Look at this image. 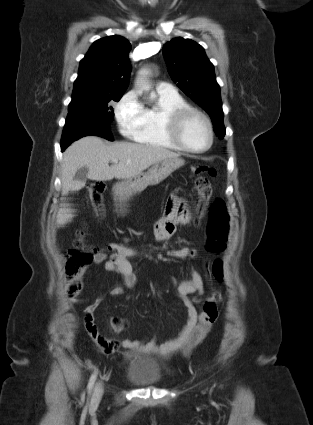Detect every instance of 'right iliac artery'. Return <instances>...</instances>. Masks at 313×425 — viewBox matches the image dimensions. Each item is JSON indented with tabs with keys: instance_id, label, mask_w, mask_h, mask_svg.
I'll list each match as a JSON object with an SVG mask.
<instances>
[{
	"instance_id": "obj_1",
	"label": "right iliac artery",
	"mask_w": 313,
	"mask_h": 425,
	"mask_svg": "<svg viewBox=\"0 0 313 425\" xmlns=\"http://www.w3.org/2000/svg\"><path fill=\"white\" fill-rule=\"evenodd\" d=\"M96 378H97V373H96V372H94V373L91 375V377H90V379H89L88 386H87V390H88V393H89V394H91V392H92V388H93V386H94V383H95V381H96Z\"/></svg>"
}]
</instances>
